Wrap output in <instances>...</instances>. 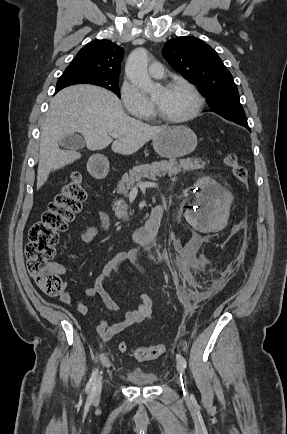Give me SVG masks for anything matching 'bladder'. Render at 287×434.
Wrapping results in <instances>:
<instances>
[{
	"mask_svg": "<svg viewBox=\"0 0 287 434\" xmlns=\"http://www.w3.org/2000/svg\"><path fill=\"white\" fill-rule=\"evenodd\" d=\"M124 378L129 383L140 387L153 386L159 382V377L154 372H147L140 368L129 369L124 374Z\"/></svg>",
	"mask_w": 287,
	"mask_h": 434,
	"instance_id": "obj_1",
	"label": "bladder"
}]
</instances>
